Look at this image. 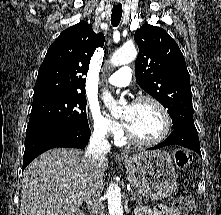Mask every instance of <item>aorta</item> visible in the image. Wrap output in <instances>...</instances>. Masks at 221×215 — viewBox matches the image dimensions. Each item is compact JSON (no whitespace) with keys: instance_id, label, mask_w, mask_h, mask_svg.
I'll return each instance as SVG.
<instances>
[{"instance_id":"aorta-1","label":"aorta","mask_w":221,"mask_h":215,"mask_svg":"<svg viewBox=\"0 0 221 215\" xmlns=\"http://www.w3.org/2000/svg\"><path fill=\"white\" fill-rule=\"evenodd\" d=\"M137 57V50L134 46H127L118 49L110 59L114 66H121L128 64ZM103 100L105 106L109 109L112 115L119 111L118 103L115 102L109 93H104ZM108 210L109 215H123V208L121 204V189L116 184H111L107 190Z\"/></svg>"}]
</instances>
